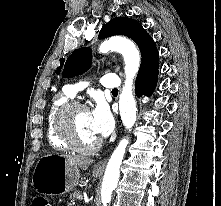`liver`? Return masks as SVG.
Instances as JSON below:
<instances>
[{
    "label": "liver",
    "mask_w": 221,
    "mask_h": 206,
    "mask_svg": "<svg viewBox=\"0 0 221 206\" xmlns=\"http://www.w3.org/2000/svg\"><path fill=\"white\" fill-rule=\"evenodd\" d=\"M71 166H75L82 170H87L88 167L93 163L92 159L78 156H65Z\"/></svg>",
    "instance_id": "liver-1"
}]
</instances>
